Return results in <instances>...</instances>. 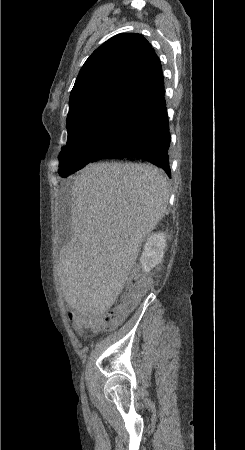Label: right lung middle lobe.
Listing matches in <instances>:
<instances>
[{"mask_svg": "<svg viewBox=\"0 0 245 450\" xmlns=\"http://www.w3.org/2000/svg\"><path fill=\"white\" fill-rule=\"evenodd\" d=\"M137 112L117 104H97L67 118L68 139L59 155V175L66 177L113 148L126 137Z\"/></svg>", "mask_w": 245, "mask_h": 450, "instance_id": "right-lung-middle-lobe-1", "label": "right lung middle lobe"}]
</instances>
